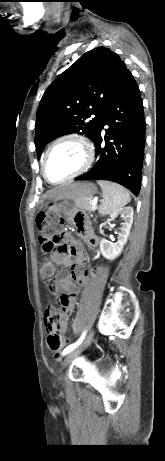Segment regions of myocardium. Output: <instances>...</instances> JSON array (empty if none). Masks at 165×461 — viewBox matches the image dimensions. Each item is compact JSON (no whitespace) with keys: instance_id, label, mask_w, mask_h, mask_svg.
<instances>
[{"instance_id":"obj_1","label":"myocardium","mask_w":165,"mask_h":461,"mask_svg":"<svg viewBox=\"0 0 165 461\" xmlns=\"http://www.w3.org/2000/svg\"><path fill=\"white\" fill-rule=\"evenodd\" d=\"M62 142H75L77 143L80 148L82 149V152H83V155H84V160H83V163L81 164V166L76 169L74 172H72L70 175H68L67 177L61 179V180H58V181H53L49 178L48 174H47V171H46V160H47V157L49 155V153L51 152V150L58 144L62 143ZM94 147L92 145V143L88 140L87 137H85L84 135H81V134H78V133H67V134H64V135H61L59 137H57L54 141H52L48 147L46 148L44 154H43V158H42V172H43V176L44 178L52 183V184H61V183H64V182H67L69 180H72L78 176H80L81 174H83L84 172H86L93 164L94 162Z\"/></svg>"}]
</instances>
